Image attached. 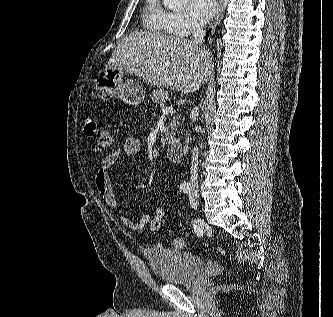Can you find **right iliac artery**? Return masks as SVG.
Wrapping results in <instances>:
<instances>
[{"instance_id": "right-iliac-artery-1", "label": "right iliac artery", "mask_w": 333, "mask_h": 317, "mask_svg": "<svg viewBox=\"0 0 333 317\" xmlns=\"http://www.w3.org/2000/svg\"><path fill=\"white\" fill-rule=\"evenodd\" d=\"M180 189L183 193H188L190 190V186L189 184H182L180 186ZM193 227H194V231L198 236H202L203 235V231L201 230V228L196 224V222L193 223Z\"/></svg>"}]
</instances>
